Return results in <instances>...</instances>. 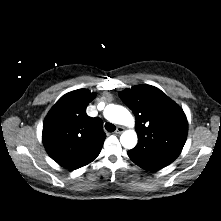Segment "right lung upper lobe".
I'll return each instance as SVG.
<instances>
[{
  "instance_id": "right-lung-upper-lobe-1",
  "label": "right lung upper lobe",
  "mask_w": 221,
  "mask_h": 221,
  "mask_svg": "<svg viewBox=\"0 0 221 221\" xmlns=\"http://www.w3.org/2000/svg\"><path fill=\"white\" fill-rule=\"evenodd\" d=\"M95 93L79 89L62 96L43 124V144L49 156L62 167L78 169L100 153L106 135L102 120L86 114Z\"/></svg>"
}]
</instances>
